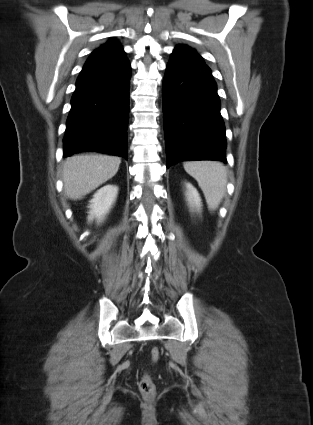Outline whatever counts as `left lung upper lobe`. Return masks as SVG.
<instances>
[{
    "label": "left lung upper lobe",
    "mask_w": 313,
    "mask_h": 425,
    "mask_svg": "<svg viewBox=\"0 0 313 425\" xmlns=\"http://www.w3.org/2000/svg\"><path fill=\"white\" fill-rule=\"evenodd\" d=\"M172 54L182 55L194 62L205 64L203 58L196 52V50L192 49L187 45H177Z\"/></svg>",
    "instance_id": "1"
}]
</instances>
